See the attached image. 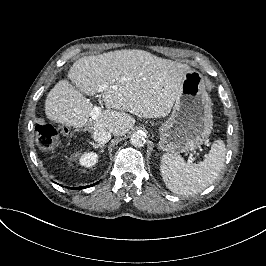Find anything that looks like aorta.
<instances>
[{"label": "aorta", "mask_w": 266, "mask_h": 266, "mask_svg": "<svg viewBox=\"0 0 266 266\" xmlns=\"http://www.w3.org/2000/svg\"><path fill=\"white\" fill-rule=\"evenodd\" d=\"M146 139L144 132H134L130 137V143L134 147H142L146 143Z\"/></svg>", "instance_id": "1"}]
</instances>
